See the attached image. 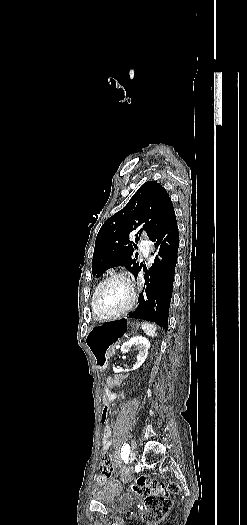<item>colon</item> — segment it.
Here are the masks:
<instances>
[{
    "mask_svg": "<svg viewBox=\"0 0 247 525\" xmlns=\"http://www.w3.org/2000/svg\"><path fill=\"white\" fill-rule=\"evenodd\" d=\"M99 386L101 389L106 390L109 388L110 383L108 380L103 379L100 381ZM99 408L102 412L99 423L104 425L112 409L106 401L101 402ZM100 471L105 477L112 476L114 464L111 454L103 453L101 455ZM129 488L134 495L142 499L141 518L144 522L150 524H158L163 521L171 507L169 497L177 495L181 491L180 485L176 482L168 484L158 483L144 475L138 477Z\"/></svg>",
    "mask_w": 247,
    "mask_h": 525,
    "instance_id": "obj_1",
    "label": "colon"
}]
</instances>
